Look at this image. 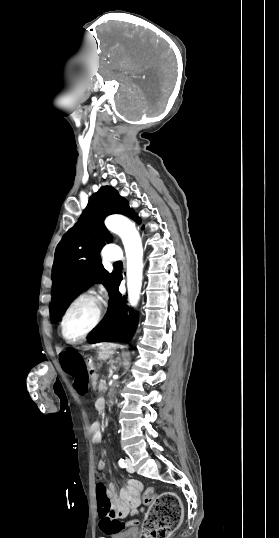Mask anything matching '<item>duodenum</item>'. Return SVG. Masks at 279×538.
<instances>
[{"label": "duodenum", "instance_id": "1", "mask_svg": "<svg viewBox=\"0 0 279 538\" xmlns=\"http://www.w3.org/2000/svg\"><path fill=\"white\" fill-rule=\"evenodd\" d=\"M89 369H90V372H91V377H92V382H91V385H92V390H97V385H98V382H97V366L95 364H91L89 366ZM98 402H97V405L95 406V409L97 410V413L99 415H102L104 413V410H103V405H104V400H105V397L103 395H100L98 397Z\"/></svg>", "mask_w": 279, "mask_h": 538}]
</instances>
